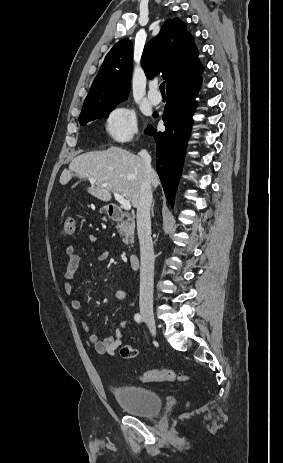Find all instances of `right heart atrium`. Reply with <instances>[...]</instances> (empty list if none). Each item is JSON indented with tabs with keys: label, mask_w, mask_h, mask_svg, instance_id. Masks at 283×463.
<instances>
[{
	"label": "right heart atrium",
	"mask_w": 283,
	"mask_h": 463,
	"mask_svg": "<svg viewBox=\"0 0 283 463\" xmlns=\"http://www.w3.org/2000/svg\"><path fill=\"white\" fill-rule=\"evenodd\" d=\"M104 130L113 142L124 143L133 140L138 135L135 112L125 106L112 109L105 118Z\"/></svg>",
	"instance_id": "1"
}]
</instances>
